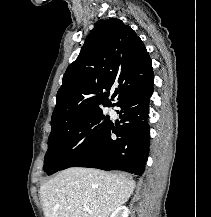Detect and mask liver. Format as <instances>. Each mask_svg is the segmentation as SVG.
I'll return each mask as SVG.
<instances>
[{
    "label": "liver",
    "instance_id": "6515ba94",
    "mask_svg": "<svg viewBox=\"0 0 211 217\" xmlns=\"http://www.w3.org/2000/svg\"><path fill=\"white\" fill-rule=\"evenodd\" d=\"M134 188L135 181L121 173L68 168L41 186L40 198L45 217H109L127 202Z\"/></svg>",
    "mask_w": 211,
    "mask_h": 217
}]
</instances>
